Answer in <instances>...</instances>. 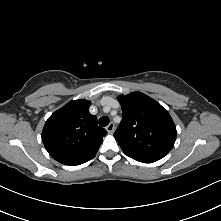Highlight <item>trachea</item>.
<instances>
[{
    "label": "trachea",
    "mask_w": 221,
    "mask_h": 221,
    "mask_svg": "<svg viewBox=\"0 0 221 221\" xmlns=\"http://www.w3.org/2000/svg\"><path fill=\"white\" fill-rule=\"evenodd\" d=\"M109 124V118L107 116H102L100 119H99V125L102 126V127H105Z\"/></svg>",
    "instance_id": "trachea-1"
}]
</instances>
